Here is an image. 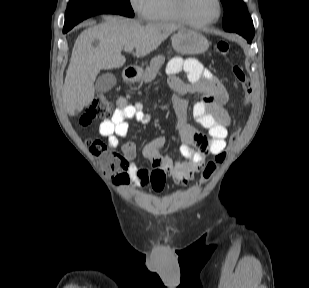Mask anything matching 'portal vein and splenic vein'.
<instances>
[{
  "instance_id": "1",
  "label": "portal vein and splenic vein",
  "mask_w": 309,
  "mask_h": 288,
  "mask_svg": "<svg viewBox=\"0 0 309 288\" xmlns=\"http://www.w3.org/2000/svg\"><path fill=\"white\" fill-rule=\"evenodd\" d=\"M124 50H125L126 52H131V51L133 50V47H132V46H126V47L124 48Z\"/></svg>"
}]
</instances>
